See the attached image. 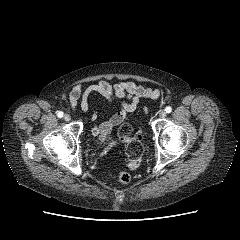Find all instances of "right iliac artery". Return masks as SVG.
Segmentation results:
<instances>
[{
	"label": "right iliac artery",
	"mask_w": 240,
	"mask_h": 240,
	"mask_svg": "<svg viewBox=\"0 0 240 240\" xmlns=\"http://www.w3.org/2000/svg\"><path fill=\"white\" fill-rule=\"evenodd\" d=\"M63 115H64V113H63L62 111H58V112H57V116H58L59 118H62Z\"/></svg>",
	"instance_id": "82829eb1"
}]
</instances>
